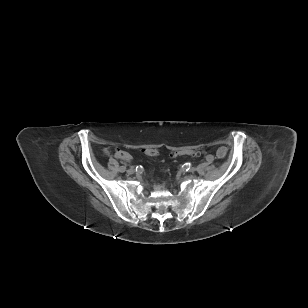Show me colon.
<instances>
[{
  "label": "colon",
  "mask_w": 308,
  "mask_h": 308,
  "mask_svg": "<svg viewBox=\"0 0 308 308\" xmlns=\"http://www.w3.org/2000/svg\"><path fill=\"white\" fill-rule=\"evenodd\" d=\"M144 153L148 156H157L158 155V151L156 149H151V148L145 149ZM181 154L199 156L200 152L192 150V151H187V152H181ZM114 155H115L116 158L121 159L123 161H128L130 159L129 153L124 151V150L117 149L115 151Z\"/></svg>",
  "instance_id": "colon-1"
}]
</instances>
